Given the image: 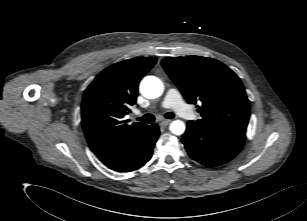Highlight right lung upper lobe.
<instances>
[{
    "label": "right lung upper lobe",
    "mask_w": 307,
    "mask_h": 221,
    "mask_svg": "<svg viewBox=\"0 0 307 221\" xmlns=\"http://www.w3.org/2000/svg\"><path fill=\"white\" fill-rule=\"evenodd\" d=\"M157 59L136 57L116 63L96 76L82 100V125L90 149L106 161L146 126L125 124L123 117L136 103L138 83Z\"/></svg>",
    "instance_id": "1"
}]
</instances>
